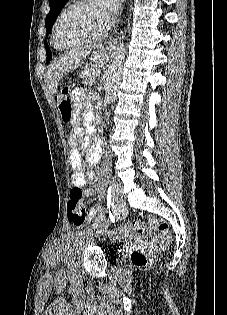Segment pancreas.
Segmentation results:
<instances>
[{
  "label": "pancreas",
  "instance_id": "1",
  "mask_svg": "<svg viewBox=\"0 0 227 315\" xmlns=\"http://www.w3.org/2000/svg\"><path fill=\"white\" fill-rule=\"evenodd\" d=\"M93 72L94 70L88 69L81 73L80 78L83 80L84 84L92 86L95 83L96 75Z\"/></svg>",
  "mask_w": 227,
  "mask_h": 315
}]
</instances>
